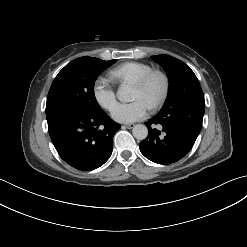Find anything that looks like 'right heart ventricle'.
Listing matches in <instances>:
<instances>
[{"mask_svg": "<svg viewBox=\"0 0 247 247\" xmlns=\"http://www.w3.org/2000/svg\"><path fill=\"white\" fill-rule=\"evenodd\" d=\"M153 68L146 63L126 62L118 65L110 71V75L116 80H131L133 82L139 80Z\"/></svg>", "mask_w": 247, "mask_h": 247, "instance_id": "e07e8e85", "label": "right heart ventricle"}]
</instances>
